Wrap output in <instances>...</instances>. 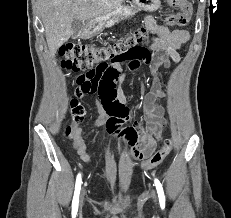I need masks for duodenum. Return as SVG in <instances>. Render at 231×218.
<instances>
[{"label":"duodenum","mask_w":231,"mask_h":218,"mask_svg":"<svg viewBox=\"0 0 231 218\" xmlns=\"http://www.w3.org/2000/svg\"><path fill=\"white\" fill-rule=\"evenodd\" d=\"M94 27H95V23H94L93 21H90V22L87 23V26H86V28H85V31H86L87 33L92 32L93 29H94Z\"/></svg>","instance_id":"obj_1"}]
</instances>
